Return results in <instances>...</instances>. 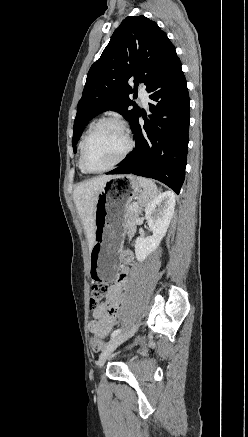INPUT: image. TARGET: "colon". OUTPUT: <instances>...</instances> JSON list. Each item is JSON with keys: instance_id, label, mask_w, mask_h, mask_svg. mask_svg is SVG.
<instances>
[{"instance_id": "5ec220e1", "label": "colon", "mask_w": 248, "mask_h": 437, "mask_svg": "<svg viewBox=\"0 0 248 437\" xmlns=\"http://www.w3.org/2000/svg\"><path fill=\"white\" fill-rule=\"evenodd\" d=\"M108 291V286H95L91 288V305L94 307L98 305L104 298ZM90 346L93 351L99 352L103 348V340L100 337L94 336L90 340Z\"/></svg>"}]
</instances>
